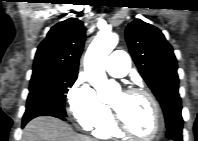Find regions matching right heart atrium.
Masks as SVG:
<instances>
[{
    "instance_id": "obj_1",
    "label": "right heart atrium",
    "mask_w": 198,
    "mask_h": 141,
    "mask_svg": "<svg viewBox=\"0 0 198 141\" xmlns=\"http://www.w3.org/2000/svg\"><path fill=\"white\" fill-rule=\"evenodd\" d=\"M67 111L72 120L84 129H94L110 114L108 107L83 78H78L67 93Z\"/></svg>"
}]
</instances>
